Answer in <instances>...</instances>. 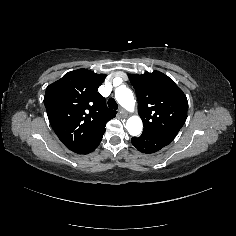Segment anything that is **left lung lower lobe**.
<instances>
[{"instance_id": "left-lung-lower-lobe-1", "label": "left lung lower lobe", "mask_w": 236, "mask_h": 236, "mask_svg": "<svg viewBox=\"0 0 236 236\" xmlns=\"http://www.w3.org/2000/svg\"><path fill=\"white\" fill-rule=\"evenodd\" d=\"M173 137L159 134L142 133L138 138L131 139L132 144L142 153H154L173 141Z\"/></svg>"}]
</instances>
